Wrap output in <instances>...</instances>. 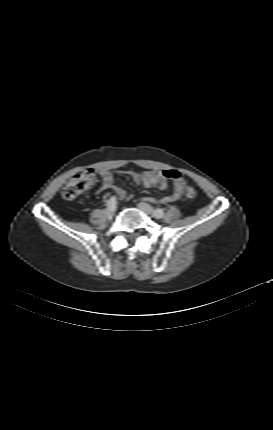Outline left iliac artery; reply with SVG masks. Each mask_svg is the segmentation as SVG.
<instances>
[{"mask_svg": "<svg viewBox=\"0 0 273 430\" xmlns=\"http://www.w3.org/2000/svg\"><path fill=\"white\" fill-rule=\"evenodd\" d=\"M154 214H155V216L159 219V218H162L163 217V210L162 209H155L154 210Z\"/></svg>", "mask_w": 273, "mask_h": 430, "instance_id": "44dca946", "label": "left iliac artery"}]
</instances>
